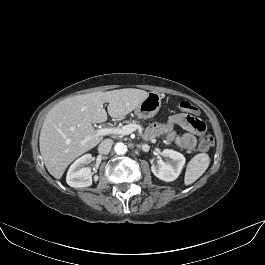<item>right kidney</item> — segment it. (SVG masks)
Segmentation results:
<instances>
[{
  "mask_svg": "<svg viewBox=\"0 0 265 265\" xmlns=\"http://www.w3.org/2000/svg\"><path fill=\"white\" fill-rule=\"evenodd\" d=\"M92 158L91 154H85L70 166L66 176V182L69 186L74 188L88 187L92 185L93 180H98V176L92 177L91 169L85 167L92 161Z\"/></svg>",
  "mask_w": 265,
  "mask_h": 265,
  "instance_id": "right-kidney-1",
  "label": "right kidney"
}]
</instances>
